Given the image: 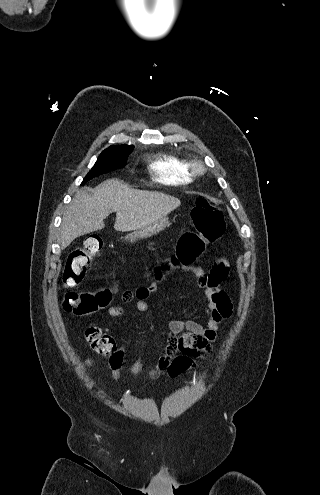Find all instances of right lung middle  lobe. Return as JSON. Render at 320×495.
<instances>
[{"label": "right lung middle lobe", "instance_id": "dd1d6c3e", "mask_svg": "<svg viewBox=\"0 0 320 495\" xmlns=\"http://www.w3.org/2000/svg\"><path fill=\"white\" fill-rule=\"evenodd\" d=\"M131 151L132 149L104 150L100 154L93 168L84 178L82 184L95 176L124 167L126 165L127 157Z\"/></svg>", "mask_w": 320, "mask_h": 495}]
</instances>
